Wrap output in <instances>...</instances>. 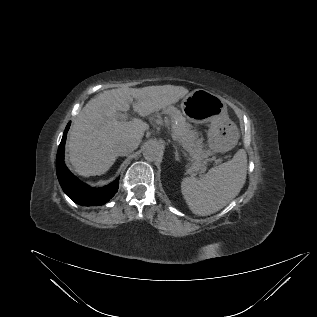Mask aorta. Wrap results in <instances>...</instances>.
Masks as SVG:
<instances>
[{"label": "aorta", "mask_w": 317, "mask_h": 317, "mask_svg": "<svg viewBox=\"0 0 317 317\" xmlns=\"http://www.w3.org/2000/svg\"><path fill=\"white\" fill-rule=\"evenodd\" d=\"M143 156L148 161H156L162 156L160 145L155 141H149L144 145Z\"/></svg>", "instance_id": "obj_1"}]
</instances>
